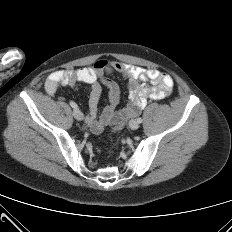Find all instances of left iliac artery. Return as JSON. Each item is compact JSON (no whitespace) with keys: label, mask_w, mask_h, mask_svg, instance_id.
<instances>
[{"label":"left iliac artery","mask_w":232,"mask_h":232,"mask_svg":"<svg viewBox=\"0 0 232 232\" xmlns=\"http://www.w3.org/2000/svg\"><path fill=\"white\" fill-rule=\"evenodd\" d=\"M142 121H143L142 118H138V119H137V122H138V123H142Z\"/></svg>","instance_id":"left-iliac-artery-1"}]
</instances>
